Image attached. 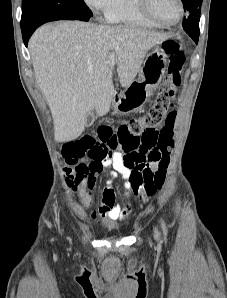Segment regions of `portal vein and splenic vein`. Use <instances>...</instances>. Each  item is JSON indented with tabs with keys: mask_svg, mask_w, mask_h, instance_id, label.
Here are the masks:
<instances>
[{
	"mask_svg": "<svg viewBox=\"0 0 227 298\" xmlns=\"http://www.w3.org/2000/svg\"><path fill=\"white\" fill-rule=\"evenodd\" d=\"M108 63L112 66L116 64V55L114 53H110Z\"/></svg>",
	"mask_w": 227,
	"mask_h": 298,
	"instance_id": "18ae733b",
	"label": "portal vein and splenic vein"
}]
</instances>
